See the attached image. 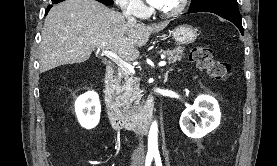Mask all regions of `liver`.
Returning <instances> with one entry per match:
<instances>
[{
	"label": "liver",
	"mask_w": 277,
	"mask_h": 166,
	"mask_svg": "<svg viewBox=\"0 0 277 166\" xmlns=\"http://www.w3.org/2000/svg\"><path fill=\"white\" fill-rule=\"evenodd\" d=\"M167 25V21L151 26L130 22L95 0H66L46 16L39 46L40 73L85 62L94 48L134 61L140 55L138 48Z\"/></svg>",
	"instance_id": "6515ba94"
}]
</instances>
